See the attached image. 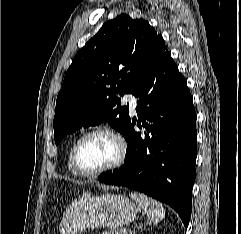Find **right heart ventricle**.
<instances>
[{"instance_id":"right-heart-ventricle-1","label":"right heart ventricle","mask_w":241,"mask_h":234,"mask_svg":"<svg viewBox=\"0 0 241 234\" xmlns=\"http://www.w3.org/2000/svg\"><path fill=\"white\" fill-rule=\"evenodd\" d=\"M74 144H75V142H73L71 144L69 151H68L67 168L74 176H77L78 174L76 173V171L74 170L73 165H72V149H73Z\"/></svg>"}]
</instances>
